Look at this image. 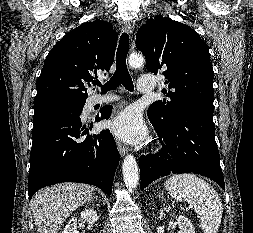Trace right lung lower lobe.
<instances>
[{"instance_id": "obj_1", "label": "right lung lower lobe", "mask_w": 253, "mask_h": 233, "mask_svg": "<svg viewBox=\"0 0 253 233\" xmlns=\"http://www.w3.org/2000/svg\"><path fill=\"white\" fill-rule=\"evenodd\" d=\"M77 111L51 107L34 113L33 144L28 180L29 200L34 193L59 182L88 183L110 196L119 152L108 130L89 135L93 121L84 123ZM105 106L94 121L108 119Z\"/></svg>"}]
</instances>
